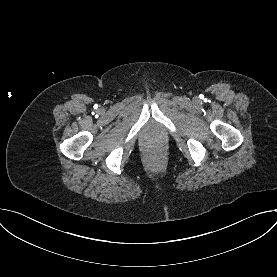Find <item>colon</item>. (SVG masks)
<instances>
[{"label": "colon", "mask_w": 277, "mask_h": 277, "mask_svg": "<svg viewBox=\"0 0 277 277\" xmlns=\"http://www.w3.org/2000/svg\"><path fill=\"white\" fill-rule=\"evenodd\" d=\"M158 156L156 154L153 155V159H156Z\"/></svg>", "instance_id": "colon-1"}]
</instances>
